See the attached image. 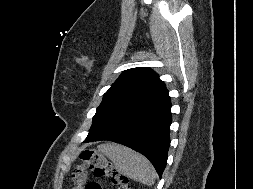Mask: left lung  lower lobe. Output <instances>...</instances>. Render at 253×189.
I'll return each mask as SVG.
<instances>
[{
  "instance_id": "obj_1",
  "label": "left lung lower lobe",
  "mask_w": 253,
  "mask_h": 189,
  "mask_svg": "<svg viewBox=\"0 0 253 189\" xmlns=\"http://www.w3.org/2000/svg\"><path fill=\"white\" fill-rule=\"evenodd\" d=\"M171 103L168 94L157 104L136 114L115 129L89 135L86 142L109 140L143 154L155 167L159 177L167 164L170 146Z\"/></svg>"
}]
</instances>
